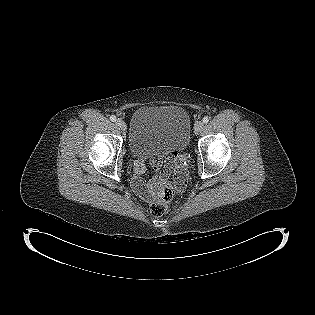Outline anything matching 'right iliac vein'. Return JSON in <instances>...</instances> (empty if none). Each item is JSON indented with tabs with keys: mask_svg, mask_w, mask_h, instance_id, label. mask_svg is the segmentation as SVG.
<instances>
[{
	"mask_svg": "<svg viewBox=\"0 0 315 315\" xmlns=\"http://www.w3.org/2000/svg\"><path fill=\"white\" fill-rule=\"evenodd\" d=\"M116 126L121 131H125L127 129L126 123L121 119L116 120Z\"/></svg>",
	"mask_w": 315,
	"mask_h": 315,
	"instance_id": "obj_1",
	"label": "right iliac vein"
}]
</instances>
